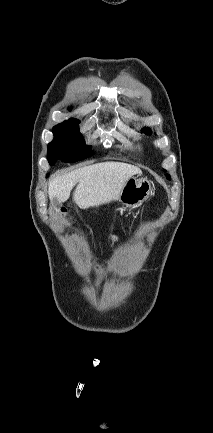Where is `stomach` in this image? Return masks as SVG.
Masks as SVG:
<instances>
[{
	"instance_id": "obj_1",
	"label": "stomach",
	"mask_w": 213,
	"mask_h": 433,
	"mask_svg": "<svg viewBox=\"0 0 213 433\" xmlns=\"http://www.w3.org/2000/svg\"><path fill=\"white\" fill-rule=\"evenodd\" d=\"M151 192L152 187L149 180L131 177L122 187L117 199L123 205L130 207L137 206L142 204L149 197Z\"/></svg>"
}]
</instances>
